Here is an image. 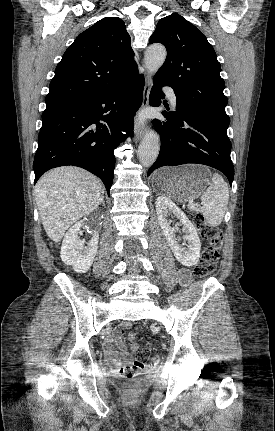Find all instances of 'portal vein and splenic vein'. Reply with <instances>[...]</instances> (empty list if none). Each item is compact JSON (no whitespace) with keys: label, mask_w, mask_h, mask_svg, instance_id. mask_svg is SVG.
<instances>
[{"label":"portal vein and splenic vein","mask_w":275,"mask_h":431,"mask_svg":"<svg viewBox=\"0 0 275 431\" xmlns=\"http://www.w3.org/2000/svg\"><path fill=\"white\" fill-rule=\"evenodd\" d=\"M189 204H192L193 203V199L192 198H189Z\"/></svg>","instance_id":"obj_1"}]
</instances>
